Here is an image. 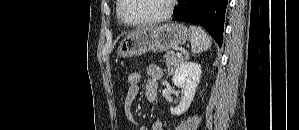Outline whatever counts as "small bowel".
Segmentation results:
<instances>
[{"instance_id": "1", "label": "small bowel", "mask_w": 299, "mask_h": 130, "mask_svg": "<svg viewBox=\"0 0 299 130\" xmlns=\"http://www.w3.org/2000/svg\"><path fill=\"white\" fill-rule=\"evenodd\" d=\"M144 74L147 77L145 85V94L147 98L150 99L152 95H157L158 80L162 76V71L158 66L150 64L146 67ZM139 90V86L128 89V92L124 100L125 115L127 119L134 124H136V120L133 114L132 107L139 94ZM151 130H164L162 121L160 119H154L151 123Z\"/></svg>"}]
</instances>
